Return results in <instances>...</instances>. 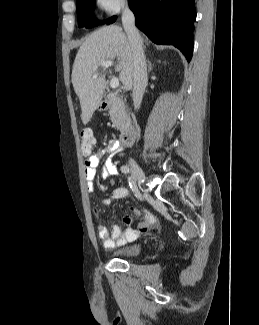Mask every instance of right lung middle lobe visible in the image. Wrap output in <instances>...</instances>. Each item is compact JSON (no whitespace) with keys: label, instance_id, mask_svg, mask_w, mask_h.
<instances>
[{"label":"right lung middle lobe","instance_id":"right-lung-middle-lobe-1","mask_svg":"<svg viewBox=\"0 0 259 325\" xmlns=\"http://www.w3.org/2000/svg\"><path fill=\"white\" fill-rule=\"evenodd\" d=\"M95 0H77V16L79 27L92 28L100 24L93 17ZM116 16L111 17L104 23L111 24L115 22Z\"/></svg>","mask_w":259,"mask_h":325}]
</instances>
